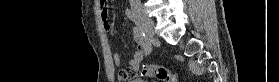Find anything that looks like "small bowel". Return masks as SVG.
I'll use <instances>...</instances> for the list:
<instances>
[{
  "instance_id": "1",
  "label": "small bowel",
  "mask_w": 279,
  "mask_h": 82,
  "mask_svg": "<svg viewBox=\"0 0 279 82\" xmlns=\"http://www.w3.org/2000/svg\"><path fill=\"white\" fill-rule=\"evenodd\" d=\"M99 7L101 9V19H102L103 26L106 30H109L111 28V24L108 19L107 1L106 0L99 1ZM132 35H133V40L137 46V50L134 52L129 62V66L126 69L119 70L118 76L120 79H128L130 77L135 76L146 55L145 53L146 42L141 35L140 29L138 27H134L132 30ZM113 62L115 65L120 64L121 62L120 53L116 52L113 54Z\"/></svg>"
}]
</instances>
